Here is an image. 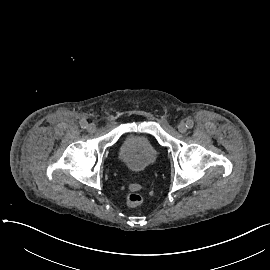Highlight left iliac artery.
<instances>
[{
  "instance_id": "obj_1",
  "label": "left iliac artery",
  "mask_w": 270,
  "mask_h": 270,
  "mask_svg": "<svg viewBox=\"0 0 270 270\" xmlns=\"http://www.w3.org/2000/svg\"><path fill=\"white\" fill-rule=\"evenodd\" d=\"M186 126L187 128L191 129L194 126V122L192 120H187Z\"/></svg>"
}]
</instances>
